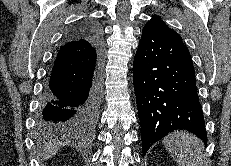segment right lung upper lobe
I'll return each mask as SVG.
<instances>
[{
  "instance_id": "right-lung-upper-lobe-1",
  "label": "right lung upper lobe",
  "mask_w": 231,
  "mask_h": 166,
  "mask_svg": "<svg viewBox=\"0 0 231 166\" xmlns=\"http://www.w3.org/2000/svg\"><path fill=\"white\" fill-rule=\"evenodd\" d=\"M84 29V26L83 25H79L77 26L74 30H72L69 35H68V38L69 39H72V40H75V39H78L81 37V30Z\"/></svg>"
}]
</instances>
